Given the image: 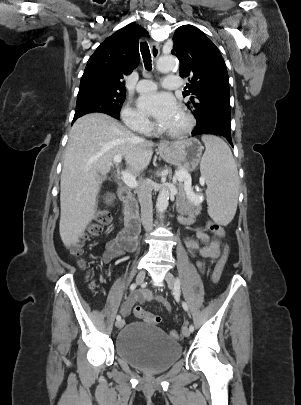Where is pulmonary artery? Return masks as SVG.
<instances>
[{"mask_svg":"<svg viewBox=\"0 0 301 405\" xmlns=\"http://www.w3.org/2000/svg\"><path fill=\"white\" fill-rule=\"evenodd\" d=\"M163 87L168 88V89H177L180 88L182 85L181 79L178 76L175 75H169L164 78L163 80ZM157 85L154 81L152 80H141L137 84V91L140 93H149L153 92L156 90Z\"/></svg>","mask_w":301,"mask_h":405,"instance_id":"e3ab8cb5","label":"pulmonary artery"}]
</instances>
